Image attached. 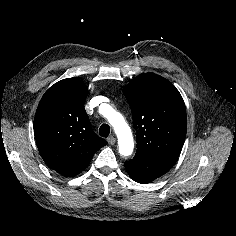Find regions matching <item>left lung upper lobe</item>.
Returning <instances> with one entry per match:
<instances>
[{
    "mask_svg": "<svg viewBox=\"0 0 236 236\" xmlns=\"http://www.w3.org/2000/svg\"><path fill=\"white\" fill-rule=\"evenodd\" d=\"M137 137V152L175 164L184 144L186 108L179 91L167 79L142 73L124 88Z\"/></svg>",
    "mask_w": 236,
    "mask_h": 236,
    "instance_id": "obj_1",
    "label": "left lung upper lobe"
}]
</instances>
